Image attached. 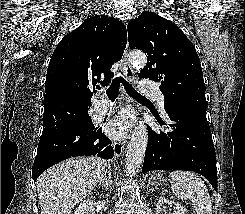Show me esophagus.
Returning a JSON list of instances; mask_svg holds the SVG:
<instances>
[{
    "label": "esophagus",
    "instance_id": "1",
    "mask_svg": "<svg viewBox=\"0 0 245 214\" xmlns=\"http://www.w3.org/2000/svg\"><path fill=\"white\" fill-rule=\"evenodd\" d=\"M122 70L124 72V75L128 82L133 83L135 80V74L128 62V47L124 50L123 56H122ZM126 100L128 99L127 96L124 97ZM113 149L114 153L117 157H120L123 154L124 150V141L122 140H116L113 143Z\"/></svg>",
    "mask_w": 245,
    "mask_h": 214
}]
</instances>
